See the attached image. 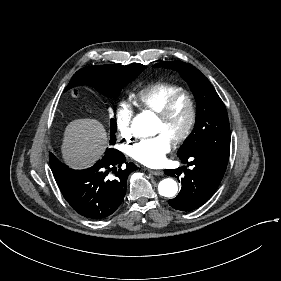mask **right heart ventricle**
Instances as JSON below:
<instances>
[{"label": "right heart ventricle", "instance_id": "right-heart-ventricle-1", "mask_svg": "<svg viewBox=\"0 0 281 281\" xmlns=\"http://www.w3.org/2000/svg\"><path fill=\"white\" fill-rule=\"evenodd\" d=\"M184 88L171 83H156L133 95V103L140 111L155 112L173 95L184 92Z\"/></svg>", "mask_w": 281, "mask_h": 281}]
</instances>
